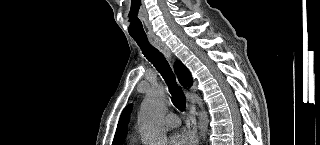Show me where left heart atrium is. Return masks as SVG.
Masks as SVG:
<instances>
[{
	"label": "left heart atrium",
	"instance_id": "obj_1",
	"mask_svg": "<svg viewBox=\"0 0 320 145\" xmlns=\"http://www.w3.org/2000/svg\"><path fill=\"white\" fill-rule=\"evenodd\" d=\"M188 138L181 133H177L169 139V145H188Z\"/></svg>",
	"mask_w": 320,
	"mask_h": 145
}]
</instances>
